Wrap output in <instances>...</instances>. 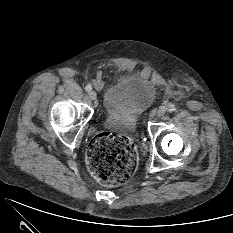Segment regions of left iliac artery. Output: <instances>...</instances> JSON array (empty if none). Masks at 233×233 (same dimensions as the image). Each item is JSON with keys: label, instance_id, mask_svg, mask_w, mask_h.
<instances>
[{"label": "left iliac artery", "instance_id": "44dca946", "mask_svg": "<svg viewBox=\"0 0 233 233\" xmlns=\"http://www.w3.org/2000/svg\"><path fill=\"white\" fill-rule=\"evenodd\" d=\"M166 109H167L168 112H173V111L176 110L175 105L172 104V103H169V104L167 105V108H166Z\"/></svg>", "mask_w": 233, "mask_h": 233}]
</instances>
